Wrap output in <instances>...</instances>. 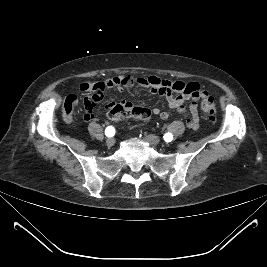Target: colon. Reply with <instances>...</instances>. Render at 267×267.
Masks as SVG:
<instances>
[{
	"label": "colon",
	"mask_w": 267,
	"mask_h": 267,
	"mask_svg": "<svg viewBox=\"0 0 267 267\" xmlns=\"http://www.w3.org/2000/svg\"><path fill=\"white\" fill-rule=\"evenodd\" d=\"M201 109L210 121L215 120L216 105L211 97H206L202 100ZM107 116L113 122H117L125 117L137 120H147L151 116V111L148 108L141 106H131L129 108L116 107L109 110Z\"/></svg>",
	"instance_id": "5ec220e1"
}]
</instances>
